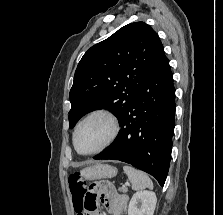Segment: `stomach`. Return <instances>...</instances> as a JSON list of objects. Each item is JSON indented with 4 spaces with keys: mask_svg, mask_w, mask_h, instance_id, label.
<instances>
[{
    "mask_svg": "<svg viewBox=\"0 0 223 215\" xmlns=\"http://www.w3.org/2000/svg\"><path fill=\"white\" fill-rule=\"evenodd\" d=\"M116 173V167H112V165H108V163H96V165L84 167V169L80 171V175H82L84 179H87V181H91V179H103V177H114Z\"/></svg>",
    "mask_w": 223,
    "mask_h": 215,
    "instance_id": "stomach-1",
    "label": "stomach"
}]
</instances>
